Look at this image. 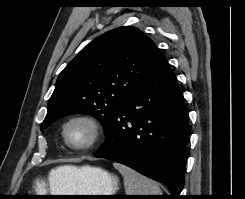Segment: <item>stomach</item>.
I'll return each instance as SVG.
<instances>
[{
    "instance_id": "0dacf381",
    "label": "stomach",
    "mask_w": 245,
    "mask_h": 199,
    "mask_svg": "<svg viewBox=\"0 0 245 199\" xmlns=\"http://www.w3.org/2000/svg\"><path fill=\"white\" fill-rule=\"evenodd\" d=\"M53 195H113L119 179L114 174L91 166L77 168L69 178L54 176ZM81 199H98L99 196H79ZM66 199V198H65Z\"/></svg>"
}]
</instances>
